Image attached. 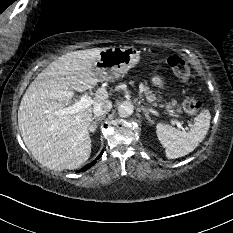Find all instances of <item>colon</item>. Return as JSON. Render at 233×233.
<instances>
[{
  "label": "colon",
  "instance_id": "1",
  "mask_svg": "<svg viewBox=\"0 0 233 233\" xmlns=\"http://www.w3.org/2000/svg\"><path fill=\"white\" fill-rule=\"evenodd\" d=\"M167 63L174 74L185 84L192 82V75L187 62L179 55H172ZM183 109L189 114H196L202 109V103L192 97H185L182 101Z\"/></svg>",
  "mask_w": 233,
  "mask_h": 233
}]
</instances>
